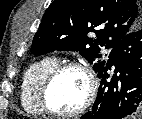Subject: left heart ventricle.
Returning <instances> with one entry per match:
<instances>
[{
  "label": "left heart ventricle",
  "mask_w": 142,
  "mask_h": 119,
  "mask_svg": "<svg viewBox=\"0 0 142 119\" xmlns=\"http://www.w3.org/2000/svg\"><path fill=\"white\" fill-rule=\"evenodd\" d=\"M87 82L76 69H68L58 75L49 93L51 106L61 112L77 109L84 101Z\"/></svg>",
  "instance_id": "b2bd125f"
}]
</instances>
